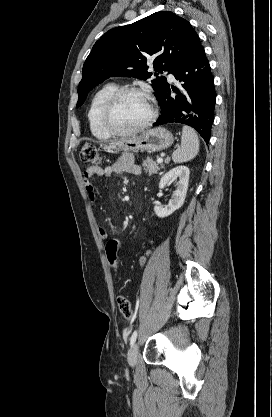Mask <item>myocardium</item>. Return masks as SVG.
<instances>
[{
  "instance_id": "obj_1",
  "label": "myocardium",
  "mask_w": 272,
  "mask_h": 417,
  "mask_svg": "<svg viewBox=\"0 0 272 417\" xmlns=\"http://www.w3.org/2000/svg\"><path fill=\"white\" fill-rule=\"evenodd\" d=\"M130 94H136V95H140L142 97H144L149 105H150V116L149 118L142 123L141 125L129 129V130H120L117 129L116 127H114V125L112 124V115L113 112L118 104V102L125 96L130 95ZM157 107L155 104V101L153 99V97L146 92L143 89L137 88V87H124V88H119L118 90H116L106 101V103L104 104L103 110H102V115H101V121H102V125L104 127V129L113 136H130V135H134L137 134L139 132L144 131L145 129H147L149 126L152 125V123L155 121L156 117H157Z\"/></svg>"
}]
</instances>
